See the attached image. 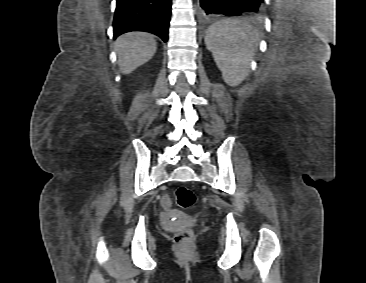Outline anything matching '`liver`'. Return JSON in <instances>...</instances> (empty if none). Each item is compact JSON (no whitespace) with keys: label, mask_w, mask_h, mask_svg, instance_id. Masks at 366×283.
<instances>
[{"label":"liver","mask_w":366,"mask_h":283,"mask_svg":"<svg viewBox=\"0 0 366 283\" xmlns=\"http://www.w3.org/2000/svg\"><path fill=\"white\" fill-rule=\"evenodd\" d=\"M115 49L120 70L123 74H129L154 56L157 42L149 33L132 31L116 39Z\"/></svg>","instance_id":"1"}]
</instances>
